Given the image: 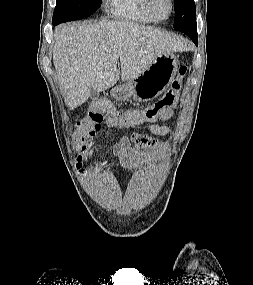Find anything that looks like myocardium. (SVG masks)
Masks as SVG:
<instances>
[{
	"label": "myocardium",
	"instance_id": "myocardium-1",
	"mask_svg": "<svg viewBox=\"0 0 253 285\" xmlns=\"http://www.w3.org/2000/svg\"><path fill=\"white\" fill-rule=\"evenodd\" d=\"M143 1H144V10L147 13V15L153 21H156V22L166 21L172 16V14L174 12V8H175L174 0H168L169 4H170V11H169V14L164 18H159V17L155 16V14L153 13L152 8H151V0H143Z\"/></svg>",
	"mask_w": 253,
	"mask_h": 285
}]
</instances>
